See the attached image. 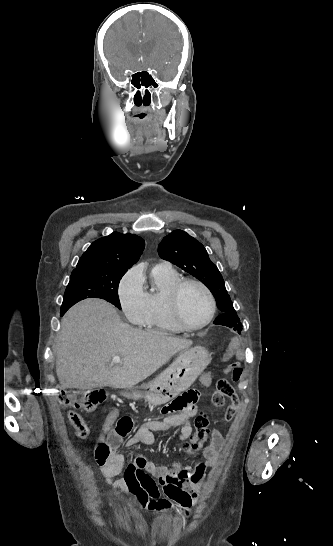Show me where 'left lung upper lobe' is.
<instances>
[{"label": "left lung upper lobe", "instance_id": "left-lung-upper-lobe-1", "mask_svg": "<svg viewBox=\"0 0 333 546\" xmlns=\"http://www.w3.org/2000/svg\"><path fill=\"white\" fill-rule=\"evenodd\" d=\"M158 254L162 259L177 265L206 285L214 295L222 314L238 318L222 275L200 242L182 230H175L160 242Z\"/></svg>", "mask_w": 333, "mask_h": 546}]
</instances>
